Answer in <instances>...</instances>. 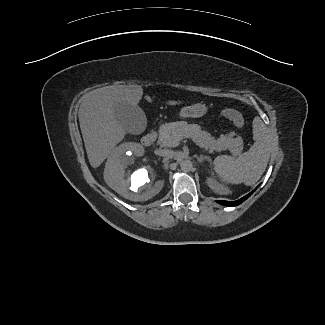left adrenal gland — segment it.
Wrapping results in <instances>:
<instances>
[{
  "mask_svg": "<svg viewBox=\"0 0 325 325\" xmlns=\"http://www.w3.org/2000/svg\"><path fill=\"white\" fill-rule=\"evenodd\" d=\"M197 160L199 163L203 162L204 160H210V158L208 156H204V155H200V156H196Z\"/></svg>",
  "mask_w": 325,
  "mask_h": 325,
  "instance_id": "left-adrenal-gland-1",
  "label": "left adrenal gland"
}]
</instances>
